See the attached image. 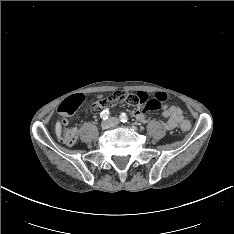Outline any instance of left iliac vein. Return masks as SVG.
Returning a JSON list of instances; mask_svg holds the SVG:
<instances>
[{
	"label": "left iliac vein",
	"instance_id": "4c4485c4",
	"mask_svg": "<svg viewBox=\"0 0 234 234\" xmlns=\"http://www.w3.org/2000/svg\"><path fill=\"white\" fill-rule=\"evenodd\" d=\"M110 121H111V123H112L113 126L119 124V120L117 118H112V119H110Z\"/></svg>",
	"mask_w": 234,
	"mask_h": 234
}]
</instances>
